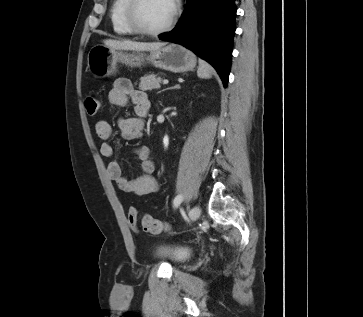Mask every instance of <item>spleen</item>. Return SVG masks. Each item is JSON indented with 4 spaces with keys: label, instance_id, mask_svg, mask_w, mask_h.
<instances>
[{
    "label": "spleen",
    "instance_id": "1",
    "mask_svg": "<svg viewBox=\"0 0 363 317\" xmlns=\"http://www.w3.org/2000/svg\"><path fill=\"white\" fill-rule=\"evenodd\" d=\"M213 73V68L204 60L199 59V67L197 70V75L199 78L208 79L211 78Z\"/></svg>",
    "mask_w": 363,
    "mask_h": 317
}]
</instances>
